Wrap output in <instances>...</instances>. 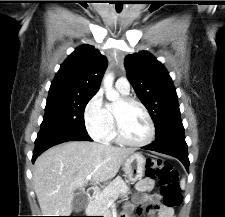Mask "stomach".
I'll use <instances>...</instances> for the list:
<instances>
[{
	"mask_svg": "<svg viewBox=\"0 0 225 217\" xmlns=\"http://www.w3.org/2000/svg\"><path fill=\"white\" fill-rule=\"evenodd\" d=\"M146 168V158L140 153H133L122 164L126 177L135 182L142 178Z\"/></svg>",
	"mask_w": 225,
	"mask_h": 217,
	"instance_id": "0dacf381",
	"label": "stomach"
}]
</instances>
